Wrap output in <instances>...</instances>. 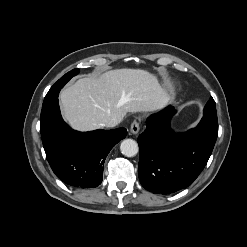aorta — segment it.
Wrapping results in <instances>:
<instances>
[{
    "mask_svg": "<svg viewBox=\"0 0 247 247\" xmlns=\"http://www.w3.org/2000/svg\"><path fill=\"white\" fill-rule=\"evenodd\" d=\"M120 151L127 157H133L138 153L139 147L135 140L125 139L121 142Z\"/></svg>",
    "mask_w": 247,
    "mask_h": 247,
    "instance_id": "aorta-1",
    "label": "aorta"
}]
</instances>
